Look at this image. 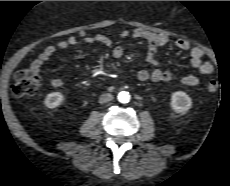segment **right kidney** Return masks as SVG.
<instances>
[{
    "mask_svg": "<svg viewBox=\"0 0 230 186\" xmlns=\"http://www.w3.org/2000/svg\"><path fill=\"white\" fill-rule=\"evenodd\" d=\"M64 96L60 92H53L46 96L44 104L49 108L53 109L58 107L63 102Z\"/></svg>",
    "mask_w": 230,
    "mask_h": 186,
    "instance_id": "1",
    "label": "right kidney"
}]
</instances>
